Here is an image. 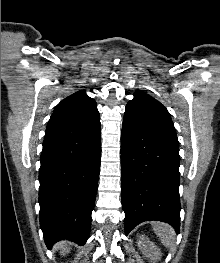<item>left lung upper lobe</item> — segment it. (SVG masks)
Masks as SVG:
<instances>
[{
  "instance_id": "1",
  "label": "left lung upper lobe",
  "mask_w": 220,
  "mask_h": 263,
  "mask_svg": "<svg viewBox=\"0 0 220 263\" xmlns=\"http://www.w3.org/2000/svg\"><path fill=\"white\" fill-rule=\"evenodd\" d=\"M123 121L179 146L176 130L167 109L142 91H136L134 98L127 103Z\"/></svg>"
}]
</instances>
